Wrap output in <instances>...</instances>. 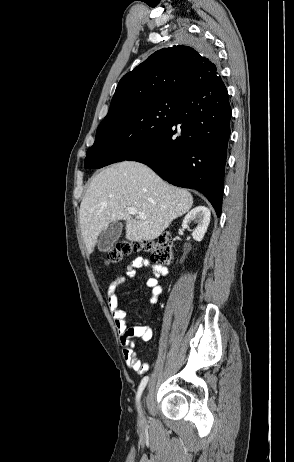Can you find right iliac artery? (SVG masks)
I'll return each instance as SVG.
<instances>
[{
    "mask_svg": "<svg viewBox=\"0 0 294 462\" xmlns=\"http://www.w3.org/2000/svg\"><path fill=\"white\" fill-rule=\"evenodd\" d=\"M148 380H149V377H148V376H145V377L142 379V381H141V383H140V385H139V388H138V391H137V396H136L137 404H139V400H140L141 394H142V392H143V390H144V388H145V386H146ZM138 409H139V407H138Z\"/></svg>",
    "mask_w": 294,
    "mask_h": 462,
    "instance_id": "1",
    "label": "right iliac artery"
}]
</instances>
